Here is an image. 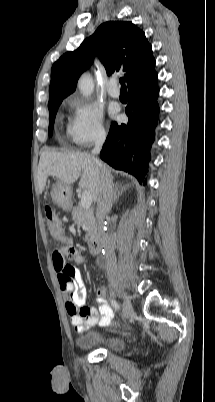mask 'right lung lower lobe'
<instances>
[{
  "label": "right lung lower lobe",
  "mask_w": 215,
  "mask_h": 402,
  "mask_svg": "<svg viewBox=\"0 0 215 402\" xmlns=\"http://www.w3.org/2000/svg\"><path fill=\"white\" fill-rule=\"evenodd\" d=\"M157 74L129 88L125 108L127 124L112 122L100 157L112 167L133 174L141 183L147 173L150 148L155 139L159 106Z\"/></svg>",
  "instance_id": "1"
}]
</instances>
